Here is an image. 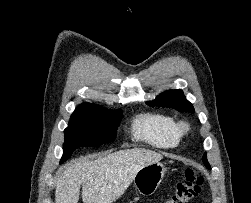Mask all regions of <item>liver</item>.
<instances>
[{
	"instance_id": "6515ba94",
	"label": "liver",
	"mask_w": 251,
	"mask_h": 203,
	"mask_svg": "<svg viewBox=\"0 0 251 203\" xmlns=\"http://www.w3.org/2000/svg\"><path fill=\"white\" fill-rule=\"evenodd\" d=\"M162 158L155 151L134 148L96 160H73L58 175L55 203H78L81 186L84 203H113L124 194L141 168Z\"/></svg>"
}]
</instances>
